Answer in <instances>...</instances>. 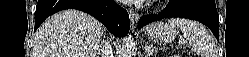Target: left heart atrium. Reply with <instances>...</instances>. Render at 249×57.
<instances>
[{"instance_id": "39dd6f15", "label": "left heart atrium", "mask_w": 249, "mask_h": 57, "mask_svg": "<svg viewBox=\"0 0 249 57\" xmlns=\"http://www.w3.org/2000/svg\"><path fill=\"white\" fill-rule=\"evenodd\" d=\"M135 2L137 3H142V2H147V1H150V0H134Z\"/></svg>"}]
</instances>
